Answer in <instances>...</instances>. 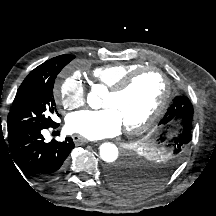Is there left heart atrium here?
<instances>
[{
    "mask_svg": "<svg viewBox=\"0 0 216 216\" xmlns=\"http://www.w3.org/2000/svg\"><path fill=\"white\" fill-rule=\"evenodd\" d=\"M65 126L69 133L96 140L117 135L122 122L113 109L104 108L73 112L67 116Z\"/></svg>",
    "mask_w": 216,
    "mask_h": 216,
    "instance_id": "39dd6f15",
    "label": "left heart atrium"
}]
</instances>
